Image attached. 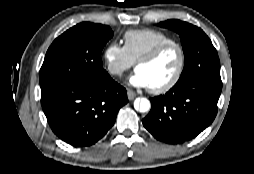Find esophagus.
I'll return each instance as SVG.
<instances>
[{"label": "esophagus", "mask_w": 254, "mask_h": 174, "mask_svg": "<svg viewBox=\"0 0 254 174\" xmlns=\"http://www.w3.org/2000/svg\"><path fill=\"white\" fill-rule=\"evenodd\" d=\"M127 96H128V99L131 101V100H134L136 98V93L132 90H128L127 91Z\"/></svg>", "instance_id": "obj_1"}]
</instances>
